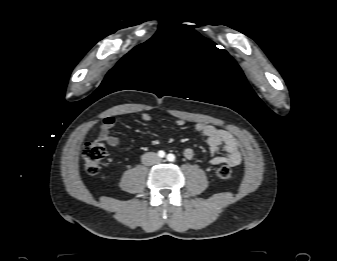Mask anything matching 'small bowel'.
<instances>
[{"mask_svg": "<svg viewBox=\"0 0 337 261\" xmlns=\"http://www.w3.org/2000/svg\"><path fill=\"white\" fill-rule=\"evenodd\" d=\"M140 118L144 122H150L152 120L149 113H142ZM115 122L116 120L113 116L105 117L99 132L100 138L111 147H116L119 144V138L111 133ZM184 123L185 122L181 119L177 121L178 126H182ZM195 129L206 138L212 156L211 164L213 166L228 164L229 166L236 167L241 163L242 156L237 141L230 132L202 122L197 123ZM219 151L225 152L226 155H217ZM183 154L187 159H192L195 152L192 148L187 147L184 149Z\"/></svg>", "mask_w": 337, "mask_h": 261, "instance_id": "c3829d8e", "label": "small bowel"}]
</instances>
